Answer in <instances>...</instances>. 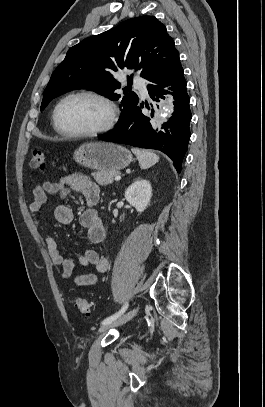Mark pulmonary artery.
<instances>
[{
    "mask_svg": "<svg viewBox=\"0 0 265 407\" xmlns=\"http://www.w3.org/2000/svg\"><path fill=\"white\" fill-rule=\"evenodd\" d=\"M133 82L140 89L143 96H146L147 95V89H146V84H145L144 79L142 77H140V76H134L133 77Z\"/></svg>",
    "mask_w": 265,
    "mask_h": 407,
    "instance_id": "e3ab8cb5",
    "label": "pulmonary artery"
}]
</instances>
